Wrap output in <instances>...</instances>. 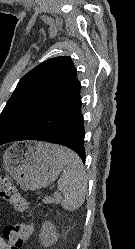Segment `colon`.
<instances>
[{
	"label": "colon",
	"instance_id": "obj_1",
	"mask_svg": "<svg viewBox=\"0 0 135 249\" xmlns=\"http://www.w3.org/2000/svg\"><path fill=\"white\" fill-rule=\"evenodd\" d=\"M0 198L9 203L17 212L23 213L28 209L27 201L17 190L11 179L0 174ZM32 224L20 223L7 225L2 232L3 239L8 243L9 249H22L23 243L32 235Z\"/></svg>",
	"mask_w": 135,
	"mask_h": 249
}]
</instances>
